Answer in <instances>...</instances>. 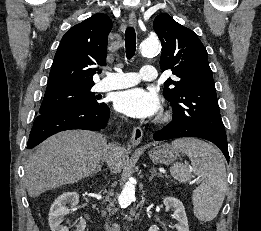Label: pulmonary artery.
Listing matches in <instances>:
<instances>
[{
	"label": "pulmonary artery",
	"mask_w": 261,
	"mask_h": 231,
	"mask_svg": "<svg viewBox=\"0 0 261 231\" xmlns=\"http://www.w3.org/2000/svg\"><path fill=\"white\" fill-rule=\"evenodd\" d=\"M156 78L157 71L155 67L145 65L142 67L140 74L123 71L111 72L99 83V87L103 91L117 90L134 86L140 80L154 81Z\"/></svg>",
	"instance_id": "1"
}]
</instances>
